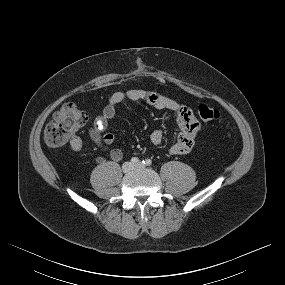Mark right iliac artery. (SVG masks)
I'll return each instance as SVG.
<instances>
[{
	"mask_svg": "<svg viewBox=\"0 0 285 285\" xmlns=\"http://www.w3.org/2000/svg\"><path fill=\"white\" fill-rule=\"evenodd\" d=\"M139 158L138 157H132L131 158V163H133V164H137V163H139Z\"/></svg>",
	"mask_w": 285,
	"mask_h": 285,
	"instance_id": "82829eb1",
	"label": "right iliac artery"
}]
</instances>
